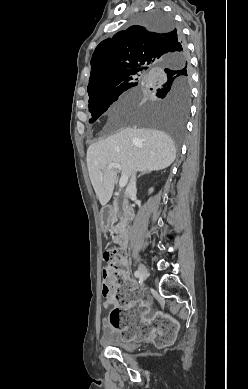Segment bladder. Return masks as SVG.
I'll use <instances>...</instances> for the list:
<instances>
[{
	"label": "bladder",
	"instance_id": "bladder-1",
	"mask_svg": "<svg viewBox=\"0 0 248 389\" xmlns=\"http://www.w3.org/2000/svg\"><path fill=\"white\" fill-rule=\"evenodd\" d=\"M101 342L108 346L120 349L121 351L131 352L139 347V342L131 339H124L122 333L118 330L104 333Z\"/></svg>",
	"mask_w": 248,
	"mask_h": 389
}]
</instances>
